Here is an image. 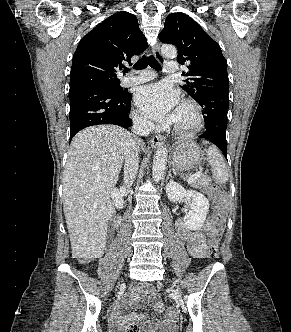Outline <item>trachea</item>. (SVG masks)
Returning <instances> with one entry per match:
<instances>
[{"instance_id": "obj_1", "label": "trachea", "mask_w": 291, "mask_h": 332, "mask_svg": "<svg viewBox=\"0 0 291 332\" xmlns=\"http://www.w3.org/2000/svg\"><path fill=\"white\" fill-rule=\"evenodd\" d=\"M147 64L155 70L162 69L160 64L158 63V61L152 55H150V56L144 55L141 58V60L133 66V68L136 70H141V69L145 68ZM126 71H128V69Z\"/></svg>"}]
</instances>
